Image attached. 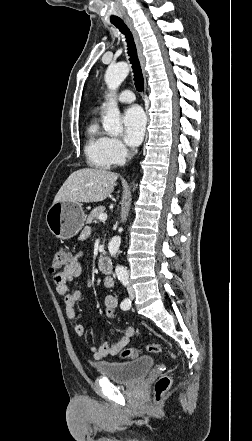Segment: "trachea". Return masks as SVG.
Here are the masks:
<instances>
[{"instance_id":"3493384b","label":"trachea","mask_w":252,"mask_h":441,"mask_svg":"<svg viewBox=\"0 0 252 441\" xmlns=\"http://www.w3.org/2000/svg\"><path fill=\"white\" fill-rule=\"evenodd\" d=\"M111 23L114 24L120 30V32L125 35L127 48H128V55L130 57L129 60L130 63L132 64V69L134 72L135 87L137 91L141 92L144 89V79H143L140 63L137 57L136 45L134 43L133 35L122 20H114Z\"/></svg>"}]
</instances>
